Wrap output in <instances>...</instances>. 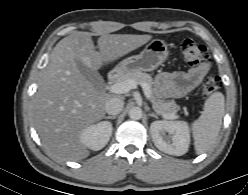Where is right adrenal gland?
<instances>
[{"mask_svg": "<svg viewBox=\"0 0 248 195\" xmlns=\"http://www.w3.org/2000/svg\"><path fill=\"white\" fill-rule=\"evenodd\" d=\"M105 119H116V116H104Z\"/></svg>", "mask_w": 248, "mask_h": 195, "instance_id": "right-adrenal-gland-1", "label": "right adrenal gland"}]
</instances>
